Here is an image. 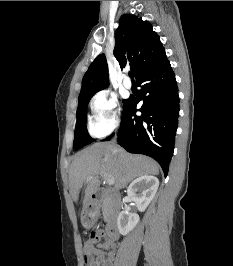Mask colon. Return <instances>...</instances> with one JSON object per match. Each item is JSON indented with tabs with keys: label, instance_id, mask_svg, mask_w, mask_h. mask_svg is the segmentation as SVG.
Returning <instances> with one entry per match:
<instances>
[{
	"label": "colon",
	"instance_id": "5ec220e1",
	"mask_svg": "<svg viewBox=\"0 0 233 266\" xmlns=\"http://www.w3.org/2000/svg\"><path fill=\"white\" fill-rule=\"evenodd\" d=\"M103 237H104V234L102 232L95 231L89 235L87 242L91 244H96V243H99Z\"/></svg>",
	"mask_w": 233,
	"mask_h": 266
}]
</instances>
